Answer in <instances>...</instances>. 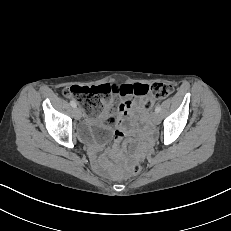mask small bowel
<instances>
[{"mask_svg":"<svg viewBox=\"0 0 231 231\" xmlns=\"http://www.w3.org/2000/svg\"><path fill=\"white\" fill-rule=\"evenodd\" d=\"M121 87H132V84H122ZM124 101L119 105V114L115 119H112L110 123L104 124V121L111 118V114L109 112V103L105 102L106 111L102 114L97 120L87 119L85 124L89 128H93L100 130L103 133L102 140L94 145L92 154L96 155L99 151H101L104 147L105 140L109 137L111 133L114 138L113 147L117 148L120 144L124 136L133 134L135 132V121L138 117L137 114L134 113V109L137 105V100L132 92H125L123 94ZM142 116V114H141ZM93 162L95 165H99V162L94 158Z\"/></svg>","mask_w":231,"mask_h":231,"instance_id":"obj_1","label":"small bowel"}]
</instances>
